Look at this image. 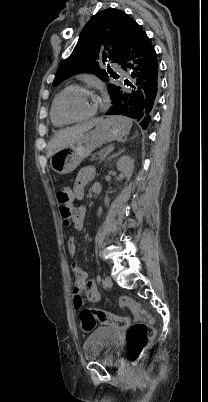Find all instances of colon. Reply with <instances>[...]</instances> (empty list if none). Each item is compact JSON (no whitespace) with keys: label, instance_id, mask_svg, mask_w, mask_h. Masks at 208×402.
I'll use <instances>...</instances> for the list:
<instances>
[{"label":"colon","instance_id":"obj_1","mask_svg":"<svg viewBox=\"0 0 208 402\" xmlns=\"http://www.w3.org/2000/svg\"><path fill=\"white\" fill-rule=\"evenodd\" d=\"M57 201L59 203V210L63 224L69 226L74 222H77L78 212L74 208L75 188L69 185L61 186L57 192ZM78 304L79 306H82L79 318L80 328L84 333L93 331L97 325H112L119 328L127 326L126 318H128V313H123V316H120L97 308L86 307L85 305L83 306V300L80 297ZM119 305L124 310H127L130 307L138 313L142 312L139 305L130 303L129 297H120ZM154 331V324H128V355L131 362H135L141 357L149 338H153Z\"/></svg>","mask_w":208,"mask_h":402}]
</instances>
